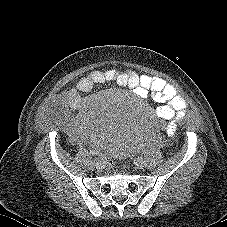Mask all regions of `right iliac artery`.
Segmentation results:
<instances>
[{
	"instance_id": "1",
	"label": "right iliac artery",
	"mask_w": 227,
	"mask_h": 227,
	"mask_svg": "<svg viewBox=\"0 0 227 227\" xmlns=\"http://www.w3.org/2000/svg\"><path fill=\"white\" fill-rule=\"evenodd\" d=\"M90 153H91L92 155L97 154V152H96L95 150L90 151ZM95 161H96V159H95Z\"/></svg>"
}]
</instances>
